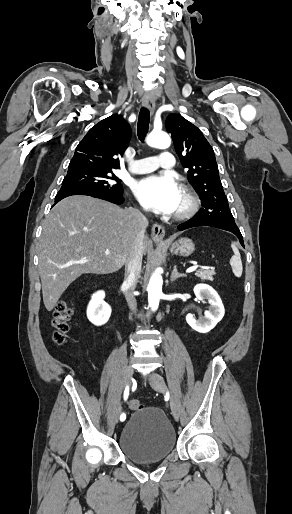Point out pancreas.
I'll list each match as a JSON object with an SVG mask.
<instances>
[{
  "instance_id": "cf45deb5",
  "label": "pancreas",
  "mask_w": 292,
  "mask_h": 514,
  "mask_svg": "<svg viewBox=\"0 0 292 514\" xmlns=\"http://www.w3.org/2000/svg\"><path fill=\"white\" fill-rule=\"evenodd\" d=\"M195 276H197V278H201V280H212L214 270H198Z\"/></svg>"
}]
</instances>
